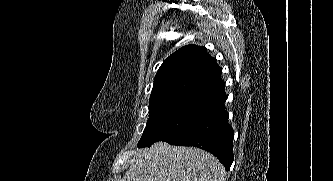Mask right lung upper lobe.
Instances as JSON below:
<instances>
[{"label": "right lung upper lobe", "mask_w": 333, "mask_h": 181, "mask_svg": "<svg viewBox=\"0 0 333 181\" xmlns=\"http://www.w3.org/2000/svg\"><path fill=\"white\" fill-rule=\"evenodd\" d=\"M222 70L205 47L187 45L171 54L154 80L149 109L185 106L209 110L227 100Z\"/></svg>", "instance_id": "1"}]
</instances>
